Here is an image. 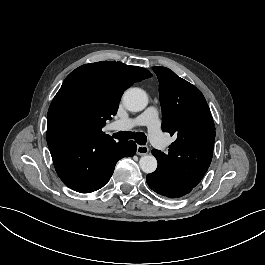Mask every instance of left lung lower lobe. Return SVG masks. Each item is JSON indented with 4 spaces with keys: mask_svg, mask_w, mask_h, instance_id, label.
<instances>
[{
    "mask_svg": "<svg viewBox=\"0 0 265 265\" xmlns=\"http://www.w3.org/2000/svg\"><path fill=\"white\" fill-rule=\"evenodd\" d=\"M148 186L156 193L169 198L182 197L195 187L183 177L158 163L155 172L147 175Z\"/></svg>",
    "mask_w": 265,
    "mask_h": 265,
    "instance_id": "left-lung-lower-lobe-1",
    "label": "left lung lower lobe"
}]
</instances>
